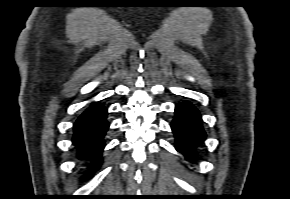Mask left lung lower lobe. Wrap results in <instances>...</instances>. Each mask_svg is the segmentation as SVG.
<instances>
[{"instance_id":"0a47b994","label":"left lung lower lobe","mask_w":290,"mask_h":199,"mask_svg":"<svg viewBox=\"0 0 290 199\" xmlns=\"http://www.w3.org/2000/svg\"><path fill=\"white\" fill-rule=\"evenodd\" d=\"M175 114L171 127L176 137V149L187 158H193L196 155L194 148L206 137L201 125V116L190 102L178 104Z\"/></svg>"}]
</instances>
